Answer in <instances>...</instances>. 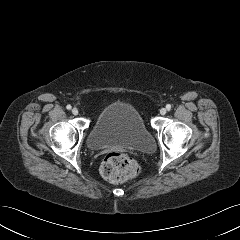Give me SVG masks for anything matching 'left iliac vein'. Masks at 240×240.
Listing matches in <instances>:
<instances>
[{"label": "left iliac vein", "instance_id": "4c4485c4", "mask_svg": "<svg viewBox=\"0 0 240 240\" xmlns=\"http://www.w3.org/2000/svg\"><path fill=\"white\" fill-rule=\"evenodd\" d=\"M166 112H167V110H166L165 108H161V109H160V114H161V115H165Z\"/></svg>", "mask_w": 240, "mask_h": 240}]
</instances>
